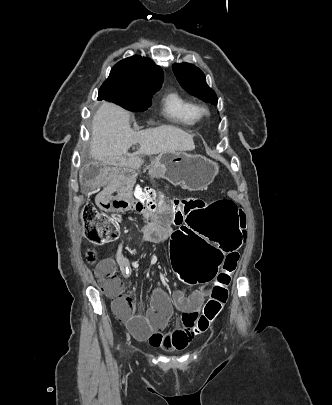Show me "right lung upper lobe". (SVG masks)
<instances>
[{"mask_svg": "<svg viewBox=\"0 0 332 405\" xmlns=\"http://www.w3.org/2000/svg\"><path fill=\"white\" fill-rule=\"evenodd\" d=\"M110 77L125 78L133 84L161 85L163 71L151 59L134 55L115 64Z\"/></svg>", "mask_w": 332, "mask_h": 405, "instance_id": "1", "label": "right lung upper lobe"}]
</instances>
